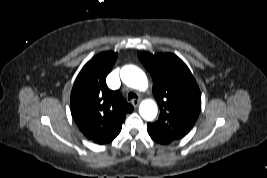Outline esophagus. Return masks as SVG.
I'll return each instance as SVG.
<instances>
[{
    "mask_svg": "<svg viewBox=\"0 0 267 178\" xmlns=\"http://www.w3.org/2000/svg\"><path fill=\"white\" fill-rule=\"evenodd\" d=\"M140 101H141L140 99H133V100H132V104H133V106H134V107H138Z\"/></svg>",
    "mask_w": 267,
    "mask_h": 178,
    "instance_id": "34e87169",
    "label": "esophagus"
}]
</instances>
